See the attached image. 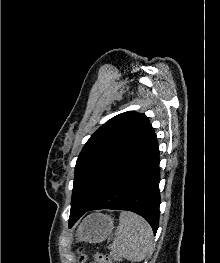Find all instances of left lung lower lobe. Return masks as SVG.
<instances>
[{
  "label": "left lung lower lobe",
  "mask_w": 220,
  "mask_h": 263,
  "mask_svg": "<svg viewBox=\"0 0 220 263\" xmlns=\"http://www.w3.org/2000/svg\"><path fill=\"white\" fill-rule=\"evenodd\" d=\"M159 181V149L156 139L89 208L71 210L69 228L87 211L116 209L141 215L156 234L159 224Z\"/></svg>",
  "instance_id": "0a47b994"
}]
</instances>
